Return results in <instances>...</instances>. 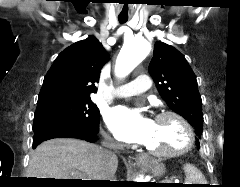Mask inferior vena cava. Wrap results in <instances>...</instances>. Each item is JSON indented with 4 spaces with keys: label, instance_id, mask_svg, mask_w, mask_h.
<instances>
[{
    "label": "inferior vena cava",
    "instance_id": "obj_1",
    "mask_svg": "<svg viewBox=\"0 0 240 187\" xmlns=\"http://www.w3.org/2000/svg\"><path fill=\"white\" fill-rule=\"evenodd\" d=\"M102 159L104 162L109 163L116 159V155L112 150H115L119 147V144H117L110 136L105 135L104 141L102 142Z\"/></svg>",
    "mask_w": 240,
    "mask_h": 187
}]
</instances>
